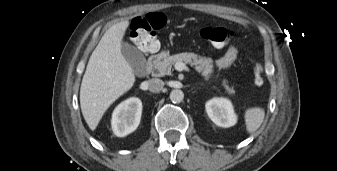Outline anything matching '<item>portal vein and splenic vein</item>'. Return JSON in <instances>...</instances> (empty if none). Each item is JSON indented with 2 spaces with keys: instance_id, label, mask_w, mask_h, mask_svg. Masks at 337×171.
<instances>
[{
  "instance_id": "obj_1",
  "label": "portal vein and splenic vein",
  "mask_w": 337,
  "mask_h": 171,
  "mask_svg": "<svg viewBox=\"0 0 337 171\" xmlns=\"http://www.w3.org/2000/svg\"><path fill=\"white\" fill-rule=\"evenodd\" d=\"M175 69L177 70V71H183V70H186V71H188L189 70V68L185 65V63H183V62H177L176 64H175Z\"/></svg>"
}]
</instances>
